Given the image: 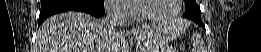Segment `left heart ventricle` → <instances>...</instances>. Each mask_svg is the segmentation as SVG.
I'll return each mask as SVG.
<instances>
[{
	"mask_svg": "<svg viewBox=\"0 0 261 52\" xmlns=\"http://www.w3.org/2000/svg\"><path fill=\"white\" fill-rule=\"evenodd\" d=\"M142 14L154 18H166L176 9L175 0H148L139 3Z\"/></svg>",
	"mask_w": 261,
	"mask_h": 52,
	"instance_id": "1",
	"label": "left heart ventricle"
}]
</instances>
